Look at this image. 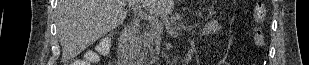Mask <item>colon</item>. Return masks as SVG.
<instances>
[{
  "label": "colon",
  "mask_w": 309,
  "mask_h": 65,
  "mask_svg": "<svg viewBox=\"0 0 309 65\" xmlns=\"http://www.w3.org/2000/svg\"><path fill=\"white\" fill-rule=\"evenodd\" d=\"M253 19L258 24L253 35V41L256 47L260 48L265 44V34L261 25L266 20V9L261 2L255 4L253 9ZM109 44L107 42H102L99 44L97 51H87L84 53V57L81 60H77L75 65H90L88 61L97 62L99 60V55L104 54L108 51Z\"/></svg>",
  "instance_id": "5ec220e1"
}]
</instances>
